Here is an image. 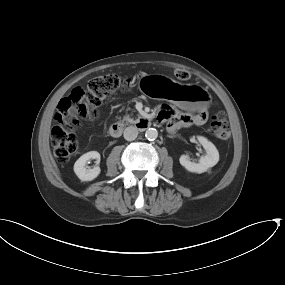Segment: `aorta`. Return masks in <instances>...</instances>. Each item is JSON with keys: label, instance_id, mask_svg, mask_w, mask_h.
<instances>
[{"label": "aorta", "instance_id": "aorta-1", "mask_svg": "<svg viewBox=\"0 0 285 285\" xmlns=\"http://www.w3.org/2000/svg\"><path fill=\"white\" fill-rule=\"evenodd\" d=\"M145 137L148 140L153 141L158 137V131L155 128H149L145 132Z\"/></svg>", "mask_w": 285, "mask_h": 285}]
</instances>
